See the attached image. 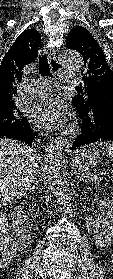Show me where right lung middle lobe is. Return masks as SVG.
I'll return each instance as SVG.
<instances>
[{"label": "right lung middle lobe", "mask_w": 113, "mask_h": 279, "mask_svg": "<svg viewBox=\"0 0 113 279\" xmlns=\"http://www.w3.org/2000/svg\"><path fill=\"white\" fill-rule=\"evenodd\" d=\"M26 121L14 103L0 108V129L20 125Z\"/></svg>", "instance_id": "1"}]
</instances>
